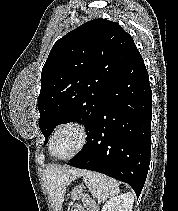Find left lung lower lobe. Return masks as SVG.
<instances>
[{"label":"left lung lower lobe","mask_w":178,"mask_h":211,"mask_svg":"<svg viewBox=\"0 0 178 211\" xmlns=\"http://www.w3.org/2000/svg\"><path fill=\"white\" fill-rule=\"evenodd\" d=\"M152 93L144 61L136 49L111 84L87 144L67 164L144 186L151 156Z\"/></svg>","instance_id":"0a47b994"}]
</instances>
